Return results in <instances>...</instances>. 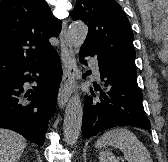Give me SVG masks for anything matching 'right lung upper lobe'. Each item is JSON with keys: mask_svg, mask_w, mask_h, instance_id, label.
I'll return each instance as SVG.
<instances>
[{"mask_svg": "<svg viewBox=\"0 0 168 162\" xmlns=\"http://www.w3.org/2000/svg\"><path fill=\"white\" fill-rule=\"evenodd\" d=\"M61 26L45 0H0V78L49 58Z\"/></svg>", "mask_w": 168, "mask_h": 162, "instance_id": "1", "label": "right lung upper lobe"}]
</instances>
